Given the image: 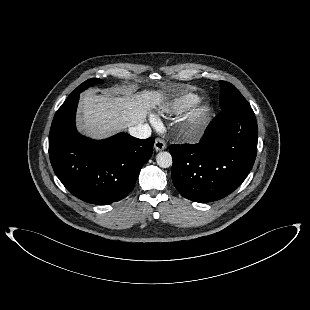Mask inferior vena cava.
<instances>
[{
  "mask_svg": "<svg viewBox=\"0 0 310 310\" xmlns=\"http://www.w3.org/2000/svg\"><path fill=\"white\" fill-rule=\"evenodd\" d=\"M128 132L131 136L146 139L151 136V128L148 124H138L133 127H129Z\"/></svg>",
  "mask_w": 310,
  "mask_h": 310,
  "instance_id": "obj_1",
  "label": "inferior vena cava"
}]
</instances>
